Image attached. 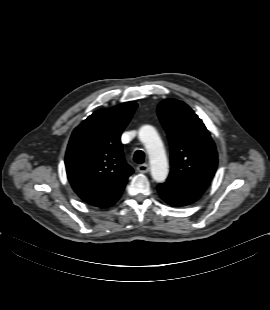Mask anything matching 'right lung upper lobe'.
<instances>
[{"mask_svg": "<svg viewBox=\"0 0 270 310\" xmlns=\"http://www.w3.org/2000/svg\"><path fill=\"white\" fill-rule=\"evenodd\" d=\"M136 107L135 102H125L97 110L72 133L65 157L67 177L90 205L122 190L133 173L124 160L120 137Z\"/></svg>", "mask_w": 270, "mask_h": 310, "instance_id": "cb5924a9", "label": "right lung upper lobe"}]
</instances>
